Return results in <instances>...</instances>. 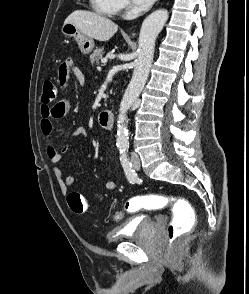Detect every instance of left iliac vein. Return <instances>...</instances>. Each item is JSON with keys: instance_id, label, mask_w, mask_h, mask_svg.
Here are the masks:
<instances>
[{"instance_id": "obj_1", "label": "left iliac vein", "mask_w": 249, "mask_h": 294, "mask_svg": "<svg viewBox=\"0 0 249 294\" xmlns=\"http://www.w3.org/2000/svg\"><path fill=\"white\" fill-rule=\"evenodd\" d=\"M131 163L133 165V168L135 170H139L140 169V160L139 157L136 153H133L131 156Z\"/></svg>"}]
</instances>
